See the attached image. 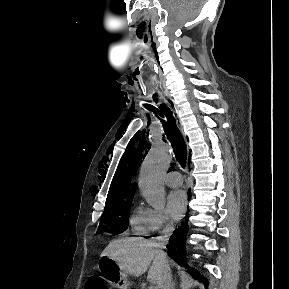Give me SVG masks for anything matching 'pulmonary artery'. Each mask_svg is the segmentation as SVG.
I'll list each match as a JSON object with an SVG mask.
<instances>
[{
    "instance_id": "1",
    "label": "pulmonary artery",
    "mask_w": 289,
    "mask_h": 289,
    "mask_svg": "<svg viewBox=\"0 0 289 289\" xmlns=\"http://www.w3.org/2000/svg\"><path fill=\"white\" fill-rule=\"evenodd\" d=\"M164 182L170 187H179L182 185L181 174L177 171H170L164 176Z\"/></svg>"
}]
</instances>
